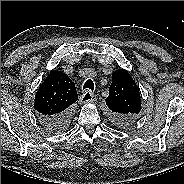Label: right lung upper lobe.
Segmentation results:
<instances>
[{"mask_svg": "<svg viewBox=\"0 0 184 184\" xmlns=\"http://www.w3.org/2000/svg\"><path fill=\"white\" fill-rule=\"evenodd\" d=\"M78 99L74 82L63 71H51L39 86L34 109L38 117L62 114Z\"/></svg>", "mask_w": 184, "mask_h": 184, "instance_id": "right-lung-upper-lobe-1", "label": "right lung upper lobe"}]
</instances>
